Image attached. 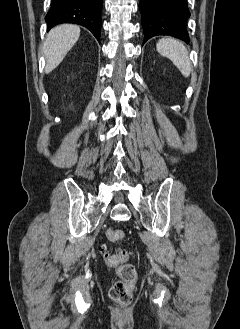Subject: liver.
Segmentation results:
<instances>
[{
	"instance_id": "6515ba94",
	"label": "liver",
	"mask_w": 240,
	"mask_h": 329,
	"mask_svg": "<svg viewBox=\"0 0 240 329\" xmlns=\"http://www.w3.org/2000/svg\"><path fill=\"white\" fill-rule=\"evenodd\" d=\"M80 36L77 25L63 24L54 27L46 37L43 52L46 58L45 73L53 71L75 45Z\"/></svg>"
}]
</instances>
